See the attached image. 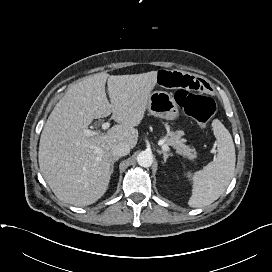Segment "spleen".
<instances>
[{
	"label": "spleen",
	"mask_w": 272,
	"mask_h": 272,
	"mask_svg": "<svg viewBox=\"0 0 272 272\" xmlns=\"http://www.w3.org/2000/svg\"><path fill=\"white\" fill-rule=\"evenodd\" d=\"M211 126L216 137V158L202 170L186 174L193 184L188 201V205L193 208H201L216 201L234 176L236 155L232 136L218 119L213 120Z\"/></svg>",
	"instance_id": "3e777b00"
}]
</instances>
